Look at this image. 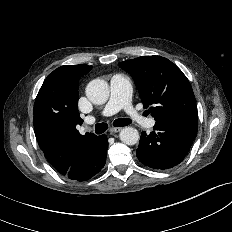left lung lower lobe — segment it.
I'll list each match as a JSON object with an SVG mask.
<instances>
[{
  "instance_id": "obj_1",
  "label": "left lung lower lobe",
  "mask_w": 232,
  "mask_h": 232,
  "mask_svg": "<svg viewBox=\"0 0 232 232\" xmlns=\"http://www.w3.org/2000/svg\"><path fill=\"white\" fill-rule=\"evenodd\" d=\"M197 130L192 123L156 122L150 134L141 133L137 158L152 169L173 168L189 152Z\"/></svg>"
}]
</instances>
